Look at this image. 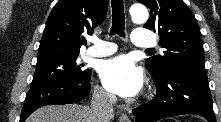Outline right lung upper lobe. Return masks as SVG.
<instances>
[{
	"mask_svg": "<svg viewBox=\"0 0 221 122\" xmlns=\"http://www.w3.org/2000/svg\"><path fill=\"white\" fill-rule=\"evenodd\" d=\"M107 9L108 0H59L46 22L37 58L79 54L86 44L83 34H92Z\"/></svg>",
	"mask_w": 221,
	"mask_h": 122,
	"instance_id": "obj_1",
	"label": "right lung upper lobe"
}]
</instances>
